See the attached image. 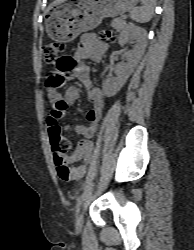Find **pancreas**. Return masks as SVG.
<instances>
[{"label": "pancreas", "mask_w": 194, "mask_h": 250, "mask_svg": "<svg viewBox=\"0 0 194 250\" xmlns=\"http://www.w3.org/2000/svg\"><path fill=\"white\" fill-rule=\"evenodd\" d=\"M111 26L117 31H121L125 26V21L121 18H115L112 20Z\"/></svg>", "instance_id": "obj_1"}]
</instances>
